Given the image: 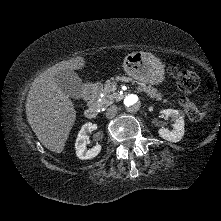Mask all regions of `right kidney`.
Wrapping results in <instances>:
<instances>
[{
    "label": "right kidney",
    "mask_w": 221,
    "mask_h": 221,
    "mask_svg": "<svg viewBox=\"0 0 221 221\" xmlns=\"http://www.w3.org/2000/svg\"><path fill=\"white\" fill-rule=\"evenodd\" d=\"M94 130V125L92 123H85L78 133L75 149L76 155L81 160H88L96 157L101 151V145L96 144L90 149H87V135Z\"/></svg>",
    "instance_id": "right-kidney-1"
}]
</instances>
